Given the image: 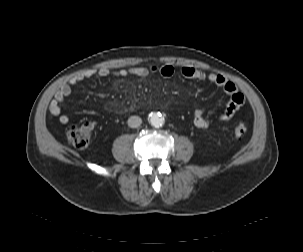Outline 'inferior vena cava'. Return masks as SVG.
Masks as SVG:
<instances>
[{"label": "inferior vena cava", "mask_w": 303, "mask_h": 252, "mask_svg": "<svg viewBox=\"0 0 303 252\" xmlns=\"http://www.w3.org/2000/svg\"><path fill=\"white\" fill-rule=\"evenodd\" d=\"M142 120L139 116H131L128 119V126L131 128H137L141 125Z\"/></svg>", "instance_id": "602c4592"}]
</instances>
